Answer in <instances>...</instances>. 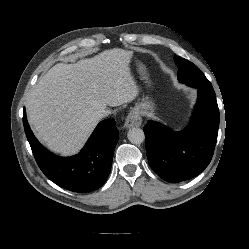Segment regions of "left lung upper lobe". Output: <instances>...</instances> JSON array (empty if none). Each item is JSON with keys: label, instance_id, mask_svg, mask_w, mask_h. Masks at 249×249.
<instances>
[{"label": "left lung upper lobe", "instance_id": "5c2ea615", "mask_svg": "<svg viewBox=\"0 0 249 249\" xmlns=\"http://www.w3.org/2000/svg\"><path fill=\"white\" fill-rule=\"evenodd\" d=\"M178 70V80L188 86L213 90L210 81L205 75L190 61L177 55L174 57Z\"/></svg>", "mask_w": 249, "mask_h": 249}]
</instances>
